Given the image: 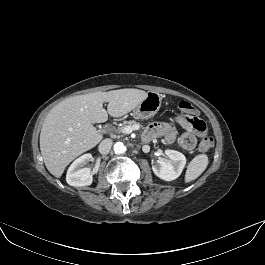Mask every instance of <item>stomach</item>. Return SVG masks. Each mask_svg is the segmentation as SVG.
Returning a JSON list of instances; mask_svg holds the SVG:
<instances>
[{
  "label": "stomach",
  "instance_id": "1",
  "mask_svg": "<svg viewBox=\"0 0 265 265\" xmlns=\"http://www.w3.org/2000/svg\"><path fill=\"white\" fill-rule=\"evenodd\" d=\"M162 97L157 92H149L146 98L134 109V115L138 119L153 117L160 109Z\"/></svg>",
  "mask_w": 265,
  "mask_h": 265
}]
</instances>
